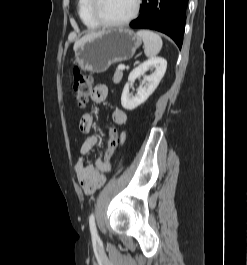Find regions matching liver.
<instances>
[{
  "mask_svg": "<svg viewBox=\"0 0 247 265\" xmlns=\"http://www.w3.org/2000/svg\"><path fill=\"white\" fill-rule=\"evenodd\" d=\"M101 32H98V33H90L88 35H85L83 36L80 40L76 41L75 44H74V50L77 48L78 45H80L82 42L92 38V37H95L97 35H99Z\"/></svg>",
  "mask_w": 247,
  "mask_h": 265,
  "instance_id": "6515ba94",
  "label": "liver"
}]
</instances>
